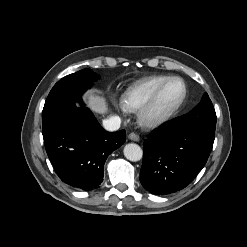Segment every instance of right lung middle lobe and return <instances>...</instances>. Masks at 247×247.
Instances as JSON below:
<instances>
[{
	"instance_id": "obj_1",
	"label": "right lung middle lobe",
	"mask_w": 247,
	"mask_h": 247,
	"mask_svg": "<svg viewBox=\"0 0 247 247\" xmlns=\"http://www.w3.org/2000/svg\"><path fill=\"white\" fill-rule=\"evenodd\" d=\"M99 78L92 70L83 69L60 79L45 101L42 120L75 107V102L83 104L81 95Z\"/></svg>"
}]
</instances>
